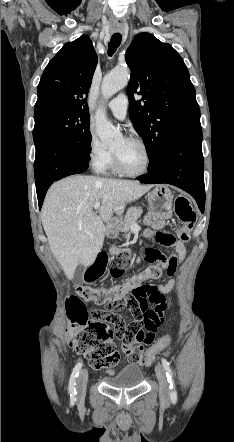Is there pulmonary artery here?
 Masks as SVG:
<instances>
[{"mask_svg":"<svg viewBox=\"0 0 234 442\" xmlns=\"http://www.w3.org/2000/svg\"><path fill=\"white\" fill-rule=\"evenodd\" d=\"M107 105L116 118L123 120L126 117L128 98L125 94L118 95L109 101Z\"/></svg>","mask_w":234,"mask_h":442,"instance_id":"obj_1","label":"pulmonary artery"}]
</instances>
